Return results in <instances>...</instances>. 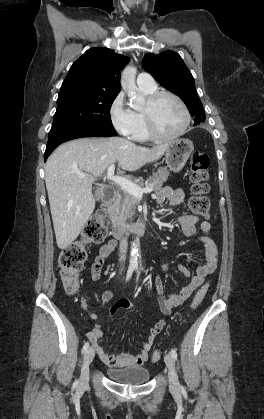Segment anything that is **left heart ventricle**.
Wrapping results in <instances>:
<instances>
[{
    "label": "left heart ventricle",
    "instance_id": "obj_1",
    "mask_svg": "<svg viewBox=\"0 0 264 419\" xmlns=\"http://www.w3.org/2000/svg\"><path fill=\"white\" fill-rule=\"evenodd\" d=\"M155 118L159 131L167 136L176 134L183 126L184 114L171 97H162L155 106Z\"/></svg>",
    "mask_w": 264,
    "mask_h": 419
}]
</instances>
